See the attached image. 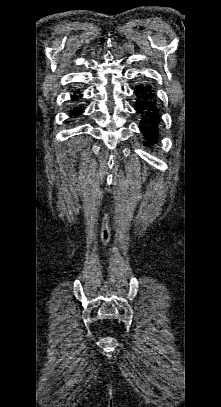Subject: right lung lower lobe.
<instances>
[{
	"label": "right lung lower lobe",
	"instance_id": "98d812e1",
	"mask_svg": "<svg viewBox=\"0 0 221 407\" xmlns=\"http://www.w3.org/2000/svg\"><path fill=\"white\" fill-rule=\"evenodd\" d=\"M76 92H74V94L72 95L73 101L76 102L75 105L73 106V108L70 110V115L73 117H76L80 114L83 113V109L82 107H80L77 102L79 101V96L77 94H75ZM79 93V92H77Z\"/></svg>",
	"mask_w": 221,
	"mask_h": 407
}]
</instances>
